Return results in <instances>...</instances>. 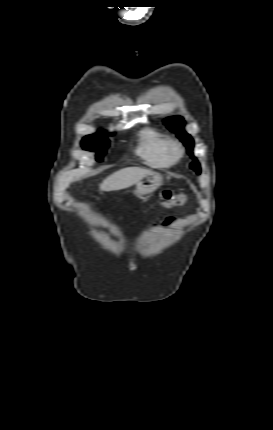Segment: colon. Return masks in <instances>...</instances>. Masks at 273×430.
Returning <instances> with one entry per match:
<instances>
[{
    "label": "colon",
    "instance_id": "5ec220e1",
    "mask_svg": "<svg viewBox=\"0 0 273 430\" xmlns=\"http://www.w3.org/2000/svg\"><path fill=\"white\" fill-rule=\"evenodd\" d=\"M186 202L184 194H174L171 191H164L160 196V203L165 207L179 206Z\"/></svg>",
    "mask_w": 273,
    "mask_h": 430
}]
</instances>
